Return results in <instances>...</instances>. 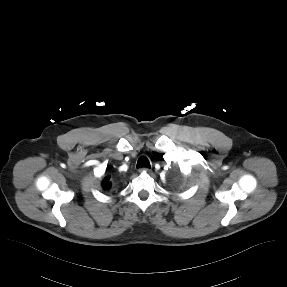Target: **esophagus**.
<instances>
[{
    "label": "esophagus",
    "instance_id": "1",
    "mask_svg": "<svg viewBox=\"0 0 287 287\" xmlns=\"http://www.w3.org/2000/svg\"><path fill=\"white\" fill-rule=\"evenodd\" d=\"M140 171H144V172L149 173V172H151V169L144 167V168H141Z\"/></svg>",
    "mask_w": 287,
    "mask_h": 287
}]
</instances>
